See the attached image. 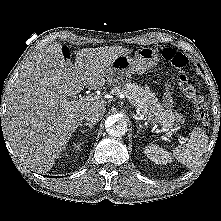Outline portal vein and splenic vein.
Listing matches in <instances>:
<instances>
[{
  "mask_svg": "<svg viewBox=\"0 0 221 221\" xmlns=\"http://www.w3.org/2000/svg\"><path fill=\"white\" fill-rule=\"evenodd\" d=\"M98 98H99V96H94V97H93V96L90 95V96H86V97H81V98L79 99V101H80V102H90V101H94V100H96V99H98ZM129 102H130V104H131L132 106L135 107V104H134L133 101H130V100H129ZM136 113H137V115H139L138 119L142 120V119L144 118V115H141V114H140L139 108H137ZM162 130L167 132V130H166L165 128H163V127H162ZM171 134H172V132H167V135H168L169 137L171 136Z\"/></svg>",
  "mask_w": 221,
  "mask_h": 221,
  "instance_id": "portal-vein-and-splenic-vein-1",
  "label": "portal vein and splenic vein"
}]
</instances>
